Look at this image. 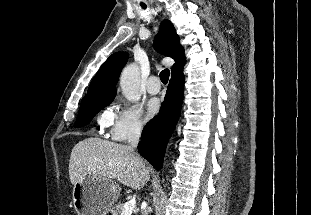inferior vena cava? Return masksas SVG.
I'll use <instances>...</instances> for the list:
<instances>
[{
    "label": "inferior vena cava",
    "instance_id": "obj_1",
    "mask_svg": "<svg viewBox=\"0 0 311 215\" xmlns=\"http://www.w3.org/2000/svg\"><path fill=\"white\" fill-rule=\"evenodd\" d=\"M140 137H141V127L135 126L134 128H132L129 134V138H128V143H129L128 146L130 149L134 150L137 148ZM142 215H148L147 210H144L142 212Z\"/></svg>",
    "mask_w": 311,
    "mask_h": 215
}]
</instances>
